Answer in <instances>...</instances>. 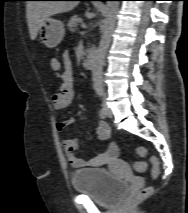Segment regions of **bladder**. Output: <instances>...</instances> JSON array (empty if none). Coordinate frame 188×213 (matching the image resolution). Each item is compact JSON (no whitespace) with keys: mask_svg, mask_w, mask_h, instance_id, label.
I'll return each mask as SVG.
<instances>
[{"mask_svg":"<svg viewBox=\"0 0 188 213\" xmlns=\"http://www.w3.org/2000/svg\"><path fill=\"white\" fill-rule=\"evenodd\" d=\"M71 183L75 190L83 192L103 206L114 205L128 190L127 181L100 168L74 171Z\"/></svg>","mask_w":188,"mask_h":213,"instance_id":"1","label":"bladder"}]
</instances>
